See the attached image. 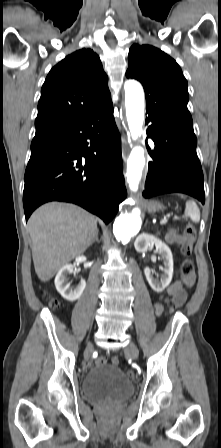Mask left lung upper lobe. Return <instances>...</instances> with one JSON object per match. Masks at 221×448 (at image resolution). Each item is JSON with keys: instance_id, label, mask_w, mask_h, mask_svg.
I'll use <instances>...</instances> for the list:
<instances>
[{"instance_id": "1", "label": "left lung upper lobe", "mask_w": 221, "mask_h": 448, "mask_svg": "<svg viewBox=\"0 0 221 448\" xmlns=\"http://www.w3.org/2000/svg\"><path fill=\"white\" fill-rule=\"evenodd\" d=\"M128 63L126 76L142 83L149 117L195 135L187 109V81L176 61L156 47L134 44Z\"/></svg>"}]
</instances>
